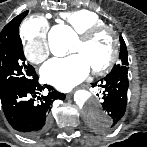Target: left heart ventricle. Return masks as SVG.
I'll use <instances>...</instances> for the list:
<instances>
[{
  "label": "left heart ventricle",
  "mask_w": 147,
  "mask_h": 147,
  "mask_svg": "<svg viewBox=\"0 0 147 147\" xmlns=\"http://www.w3.org/2000/svg\"><path fill=\"white\" fill-rule=\"evenodd\" d=\"M111 50L112 45L110 36L102 34L89 45H84L77 40L72 53L82 55L88 62L90 68H97L107 62Z\"/></svg>",
  "instance_id": "b2bd125f"
}]
</instances>
